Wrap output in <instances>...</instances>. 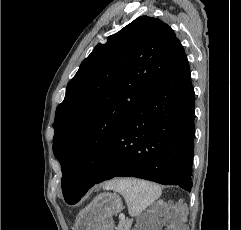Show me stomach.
Wrapping results in <instances>:
<instances>
[{"label":"stomach","instance_id":"0dacf381","mask_svg":"<svg viewBox=\"0 0 241 230\" xmlns=\"http://www.w3.org/2000/svg\"><path fill=\"white\" fill-rule=\"evenodd\" d=\"M123 209L115 193H102L82 209L75 219V230H113V216Z\"/></svg>","mask_w":241,"mask_h":230}]
</instances>
